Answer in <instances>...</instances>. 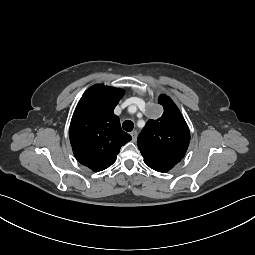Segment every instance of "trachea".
<instances>
[{"instance_id":"trachea-1","label":"trachea","mask_w":255,"mask_h":255,"mask_svg":"<svg viewBox=\"0 0 255 255\" xmlns=\"http://www.w3.org/2000/svg\"><path fill=\"white\" fill-rule=\"evenodd\" d=\"M133 127H134V124H133V122L130 121V120H126V121H124L123 124H122V128H123L125 131H127V132L132 131V130H133Z\"/></svg>"}]
</instances>
